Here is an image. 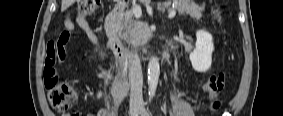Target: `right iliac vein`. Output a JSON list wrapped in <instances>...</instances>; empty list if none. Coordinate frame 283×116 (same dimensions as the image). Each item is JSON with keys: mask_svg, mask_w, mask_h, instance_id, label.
I'll use <instances>...</instances> for the list:
<instances>
[{"mask_svg": "<svg viewBox=\"0 0 283 116\" xmlns=\"http://www.w3.org/2000/svg\"><path fill=\"white\" fill-rule=\"evenodd\" d=\"M138 113V109L135 106H132L130 109L131 116H136Z\"/></svg>", "mask_w": 283, "mask_h": 116, "instance_id": "obj_1", "label": "right iliac vein"}]
</instances>
